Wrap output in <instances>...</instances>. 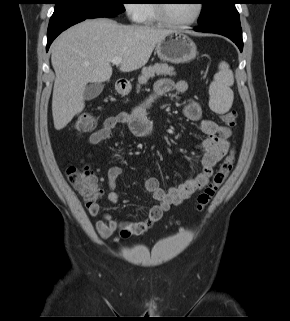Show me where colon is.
<instances>
[{"label":"colon","instance_id":"1","mask_svg":"<svg viewBox=\"0 0 290 321\" xmlns=\"http://www.w3.org/2000/svg\"><path fill=\"white\" fill-rule=\"evenodd\" d=\"M224 122L230 126L236 125L237 114L235 111H229L221 115ZM96 126L95 118L84 113L79 116L76 122V130L79 133H89ZM234 165V155L230 154L220 165L212 181L199 194L197 202L198 209L202 210L212 200L218 189L225 182ZM66 177L75 191L83 199L86 206L94 204L102 195V190L97 184L93 171L86 165H70L66 170ZM123 237L135 234L129 223L123 224L120 229Z\"/></svg>","mask_w":290,"mask_h":321}]
</instances>
